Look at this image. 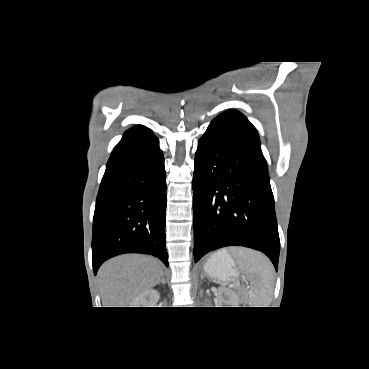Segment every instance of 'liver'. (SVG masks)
Wrapping results in <instances>:
<instances>
[{
    "label": "liver",
    "mask_w": 369,
    "mask_h": 369,
    "mask_svg": "<svg viewBox=\"0 0 369 369\" xmlns=\"http://www.w3.org/2000/svg\"><path fill=\"white\" fill-rule=\"evenodd\" d=\"M159 260L140 254H126L106 261L98 271L103 307H123L150 290L161 279Z\"/></svg>",
    "instance_id": "obj_1"
}]
</instances>
